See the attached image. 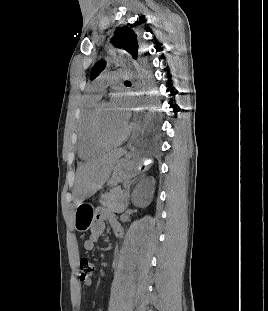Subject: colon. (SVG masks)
Wrapping results in <instances>:
<instances>
[{"label":"colon","instance_id":"obj_1","mask_svg":"<svg viewBox=\"0 0 268 311\" xmlns=\"http://www.w3.org/2000/svg\"><path fill=\"white\" fill-rule=\"evenodd\" d=\"M94 266L93 264L87 259L82 258L80 260V277L81 279L90 278L93 274Z\"/></svg>","mask_w":268,"mask_h":311}]
</instances>
